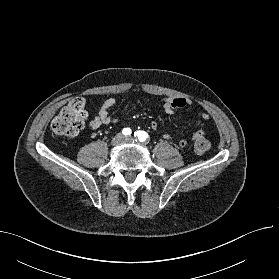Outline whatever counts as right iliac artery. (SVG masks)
Returning <instances> with one entry per match:
<instances>
[{"mask_svg":"<svg viewBox=\"0 0 279 279\" xmlns=\"http://www.w3.org/2000/svg\"><path fill=\"white\" fill-rule=\"evenodd\" d=\"M122 132L125 136H128V135L131 134V129L130 128H124Z\"/></svg>","mask_w":279,"mask_h":279,"instance_id":"1","label":"right iliac artery"}]
</instances>
